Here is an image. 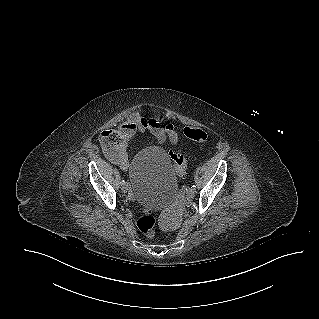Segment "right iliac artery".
Instances as JSON below:
<instances>
[{"label":"right iliac artery","mask_w":319,"mask_h":319,"mask_svg":"<svg viewBox=\"0 0 319 319\" xmlns=\"http://www.w3.org/2000/svg\"><path fill=\"white\" fill-rule=\"evenodd\" d=\"M124 183H125V181H124V180H122V181H121V184H124Z\"/></svg>","instance_id":"1"}]
</instances>
